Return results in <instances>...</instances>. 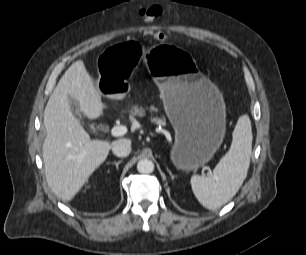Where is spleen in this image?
<instances>
[{"label":"spleen","mask_w":306,"mask_h":255,"mask_svg":"<svg viewBox=\"0 0 306 255\" xmlns=\"http://www.w3.org/2000/svg\"><path fill=\"white\" fill-rule=\"evenodd\" d=\"M229 151L221 158L211 176L194 175L191 187L197 200L215 210L233 198L242 186L252 152V128L248 115L239 117Z\"/></svg>","instance_id":"obj_1"}]
</instances>
